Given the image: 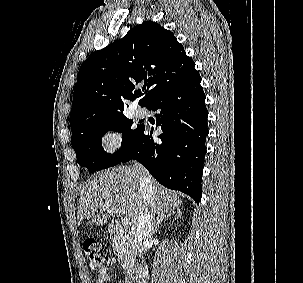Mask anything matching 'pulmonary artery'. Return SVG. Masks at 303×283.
I'll return each instance as SVG.
<instances>
[{
  "instance_id": "obj_1",
  "label": "pulmonary artery",
  "mask_w": 303,
  "mask_h": 283,
  "mask_svg": "<svg viewBox=\"0 0 303 283\" xmlns=\"http://www.w3.org/2000/svg\"><path fill=\"white\" fill-rule=\"evenodd\" d=\"M146 114V110L143 107L137 106L135 108V115L137 117H143Z\"/></svg>"
}]
</instances>
